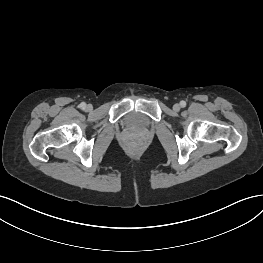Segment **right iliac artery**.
I'll use <instances>...</instances> for the list:
<instances>
[{
    "instance_id": "right-iliac-artery-1",
    "label": "right iliac artery",
    "mask_w": 263,
    "mask_h": 263,
    "mask_svg": "<svg viewBox=\"0 0 263 263\" xmlns=\"http://www.w3.org/2000/svg\"><path fill=\"white\" fill-rule=\"evenodd\" d=\"M85 107H86V103L82 102V103L80 104V108H81V109H85Z\"/></svg>"
}]
</instances>
